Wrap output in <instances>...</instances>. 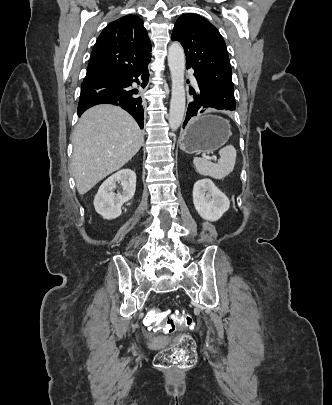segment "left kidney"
I'll return each mask as SVG.
<instances>
[{
    "instance_id": "1",
    "label": "left kidney",
    "mask_w": 332,
    "mask_h": 405,
    "mask_svg": "<svg viewBox=\"0 0 332 405\" xmlns=\"http://www.w3.org/2000/svg\"><path fill=\"white\" fill-rule=\"evenodd\" d=\"M193 203L200 217L211 222L219 220L230 207L229 199L209 179L194 184Z\"/></svg>"
}]
</instances>
